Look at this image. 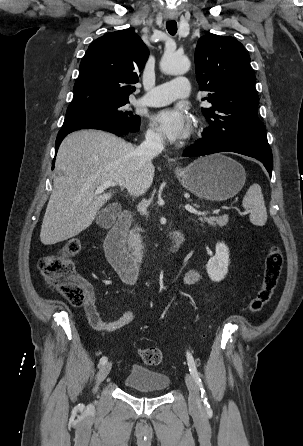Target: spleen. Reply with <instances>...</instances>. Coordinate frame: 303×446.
<instances>
[{
    "mask_svg": "<svg viewBox=\"0 0 303 446\" xmlns=\"http://www.w3.org/2000/svg\"><path fill=\"white\" fill-rule=\"evenodd\" d=\"M243 208L250 212V221L257 226H263L267 221V211L261 187L254 183L248 189L242 201Z\"/></svg>",
    "mask_w": 303,
    "mask_h": 446,
    "instance_id": "3e777b00",
    "label": "spleen"
}]
</instances>
